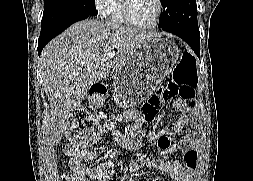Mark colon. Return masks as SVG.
<instances>
[{"instance_id": "colon-1", "label": "colon", "mask_w": 253, "mask_h": 181, "mask_svg": "<svg viewBox=\"0 0 253 181\" xmlns=\"http://www.w3.org/2000/svg\"><path fill=\"white\" fill-rule=\"evenodd\" d=\"M197 84V70L195 58L184 52L180 63L175 67L172 78L153 94L143 108V117L146 121L153 120L163 104L175 97L191 101ZM99 136L97 119L85 110L76 111L66 128L68 146L71 150L78 146L93 147ZM64 181H81L79 176L72 173L64 177Z\"/></svg>"}]
</instances>
